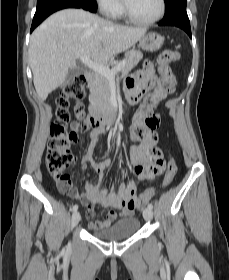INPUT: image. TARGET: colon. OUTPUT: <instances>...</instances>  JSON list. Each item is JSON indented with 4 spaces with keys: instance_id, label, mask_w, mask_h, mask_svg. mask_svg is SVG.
<instances>
[{
    "instance_id": "colon-1",
    "label": "colon",
    "mask_w": 229,
    "mask_h": 280,
    "mask_svg": "<svg viewBox=\"0 0 229 280\" xmlns=\"http://www.w3.org/2000/svg\"><path fill=\"white\" fill-rule=\"evenodd\" d=\"M178 58V53L171 49L163 50L157 57L160 84L168 92L174 91V74L170 64ZM86 80L83 76H76L56 98V122L51 126L48 140V151L46 156V166L51 176L56 181L58 187L65 192L76 191L65 169L73 161L71 145L79 140V135L89 130L91 123L84 117V109L81 102L85 96ZM76 101L71 109L70 101ZM153 95L145 97V104H152ZM159 126V116L154 114H144L138 111L131 127L133 139L144 138L147 132ZM155 160H147L146 168L153 173H160L164 166V161L160 151H153ZM177 172L176 164L171 161L166 169L162 186L169 185ZM155 190L149 189L141 194L140 199H131L128 205L139 209L154 196Z\"/></svg>"
}]
</instances>
